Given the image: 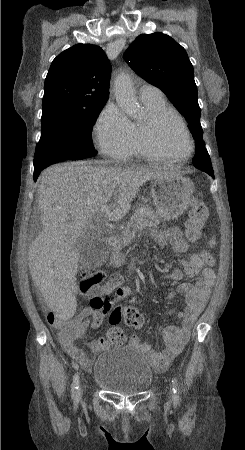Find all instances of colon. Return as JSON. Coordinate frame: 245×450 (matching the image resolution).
<instances>
[{
    "mask_svg": "<svg viewBox=\"0 0 245 450\" xmlns=\"http://www.w3.org/2000/svg\"><path fill=\"white\" fill-rule=\"evenodd\" d=\"M208 215L209 210L203 200L199 196H192L189 201V215L184 225L185 237L191 244L200 241ZM202 258L208 265H214V259L208 252L204 251ZM117 280V277L108 278L103 270L91 268L82 274L80 286L83 292L94 294L91 306L97 310H104L112 325H117L123 320L128 327L140 330L144 326L145 320L136 307L130 305L110 306L107 298L100 297V294L111 293ZM49 323L53 328L59 330L65 341L76 339L84 334L81 323L63 321L59 317H53ZM108 336L115 345L122 344L126 339L119 328L111 329Z\"/></svg>",
    "mask_w": 245,
    "mask_h": 450,
    "instance_id": "colon-1",
    "label": "colon"
}]
</instances>
